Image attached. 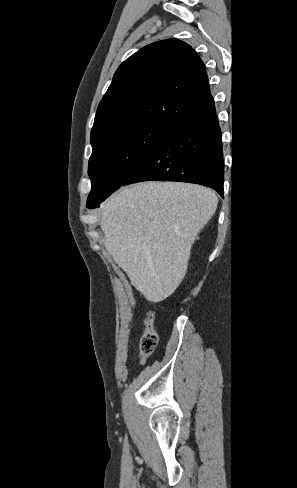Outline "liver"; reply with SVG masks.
<instances>
[{
    "label": "liver",
    "mask_w": 297,
    "mask_h": 488,
    "mask_svg": "<svg viewBox=\"0 0 297 488\" xmlns=\"http://www.w3.org/2000/svg\"><path fill=\"white\" fill-rule=\"evenodd\" d=\"M217 204L215 192L196 184L121 188L102 206L104 245L131 284L148 301L161 302L184 278L196 236Z\"/></svg>",
    "instance_id": "1"
}]
</instances>
